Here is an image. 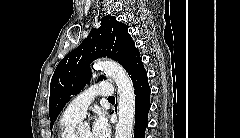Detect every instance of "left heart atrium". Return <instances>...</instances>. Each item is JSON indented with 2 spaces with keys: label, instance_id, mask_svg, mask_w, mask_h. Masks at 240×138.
<instances>
[{
  "label": "left heart atrium",
  "instance_id": "39dd6f15",
  "mask_svg": "<svg viewBox=\"0 0 240 138\" xmlns=\"http://www.w3.org/2000/svg\"><path fill=\"white\" fill-rule=\"evenodd\" d=\"M91 138H108L110 135L109 124L103 114H98L93 122Z\"/></svg>",
  "mask_w": 240,
  "mask_h": 138
}]
</instances>
